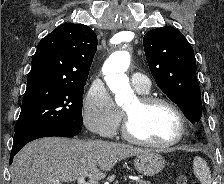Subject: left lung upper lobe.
I'll return each instance as SVG.
<instances>
[{"label":"left lung upper lobe","mask_w":224,"mask_h":184,"mask_svg":"<svg viewBox=\"0 0 224 184\" xmlns=\"http://www.w3.org/2000/svg\"><path fill=\"white\" fill-rule=\"evenodd\" d=\"M150 71L159 88L192 124L202 116L194 50L184 35L171 26L150 30L143 38Z\"/></svg>","instance_id":"5c2ea615"}]
</instances>
